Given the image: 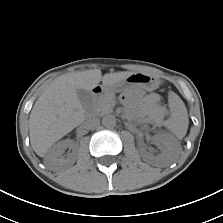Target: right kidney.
<instances>
[{"instance_id":"ca27d5eb","label":"right kidney","mask_w":223,"mask_h":223,"mask_svg":"<svg viewBox=\"0 0 223 223\" xmlns=\"http://www.w3.org/2000/svg\"><path fill=\"white\" fill-rule=\"evenodd\" d=\"M71 144L69 140H63L55 144L48 152L44 159V163L48 168H55L62 165H73L74 157L62 158V154Z\"/></svg>"}]
</instances>
